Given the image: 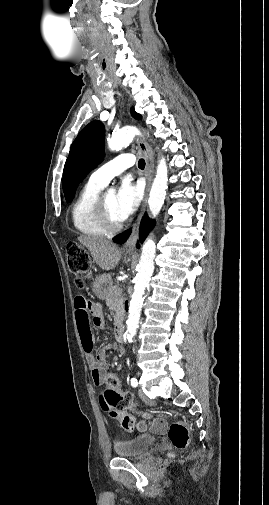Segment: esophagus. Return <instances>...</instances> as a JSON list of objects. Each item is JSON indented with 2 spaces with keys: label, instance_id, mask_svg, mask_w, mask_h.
<instances>
[{
  "label": "esophagus",
  "instance_id": "obj_1",
  "mask_svg": "<svg viewBox=\"0 0 269 505\" xmlns=\"http://www.w3.org/2000/svg\"><path fill=\"white\" fill-rule=\"evenodd\" d=\"M136 144H137V148H138L139 152L143 155L145 162H146V167H145L146 188H145V195H144V199L142 202L141 211L139 213L137 221L135 222V224L132 227V231H131V234H130L128 240L123 245V251L126 253H134L136 250V243H137V240L139 237L140 223H141L143 214L146 209L148 193H149L151 183L153 180V175H154V157H153L150 146L148 145L146 140L141 137L137 138Z\"/></svg>",
  "mask_w": 269,
  "mask_h": 505
}]
</instances>
